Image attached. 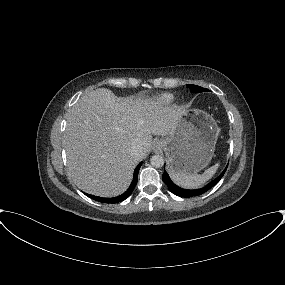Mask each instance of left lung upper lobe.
<instances>
[{
    "instance_id": "obj_1",
    "label": "left lung upper lobe",
    "mask_w": 285,
    "mask_h": 285,
    "mask_svg": "<svg viewBox=\"0 0 285 285\" xmlns=\"http://www.w3.org/2000/svg\"><path fill=\"white\" fill-rule=\"evenodd\" d=\"M187 87L191 90L193 93H199V92H204V91H209L208 89H205L203 87L197 86V85H192L188 84Z\"/></svg>"
}]
</instances>
